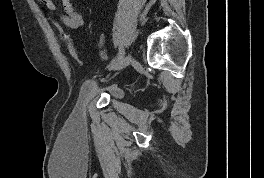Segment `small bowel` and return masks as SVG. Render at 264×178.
I'll use <instances>...</instances> for the list:
<instances>
[{
    "label": "small bowel",
    "mask_w": 264,
    "mask_h": 178,
    "mask_svg": "<svg viewBox=\"0 0 264 178\" xmlns=\"http://www.w3.org/2000/svg\"><path fill=\"white\" fill-rule=\"evenodd\" d=\"M45 8L51 12L57 11V6L52 0H36ZM64 13L60 14V22L73 30L80 29L85 24L84 16L77 10L74 0H61ZM101 58L105 59L106 54L103 50H100Z\"/></svg>",
    "instance_id": "1"
}]
</instances>
